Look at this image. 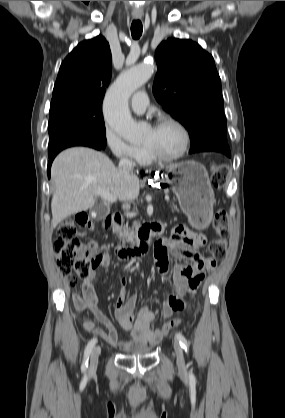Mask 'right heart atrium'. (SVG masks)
Here are the masks:
<instances>
[{
	"label": "right heart atrium",
	"mask_w": 285,
	"mask_h": 418,
	"mask_svg": "<svg viewBox=\"0 0 285 418\" xmlns=\"http://www.w3.org/2000/svg\"><path fill=\"white\" fill-rule=\"evenodd\" d=\"M104 143L109 151L120 161L132 162L138 160L142 148L127 142L111 126L107 125L104 131Z\"/></svg>",
	"instance_id": "right-heart-atrium-1"
}]
</instances>
